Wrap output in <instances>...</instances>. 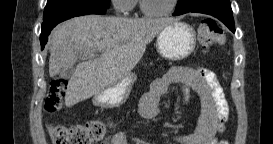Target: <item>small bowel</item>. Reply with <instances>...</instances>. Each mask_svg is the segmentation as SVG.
<instances>
[{"label":"small bowel","mask_w":273,"mask_h":144,"mask_svg":"<svg viewBox=\"0 0 273 144\" xmlns=\"http://www.w3.org/2000/svg\"><path fill=\"white\" fill-rule=\"evenodd\" d=\"M173 83L182 84L185 95L189 89L194 90L201 100V113L196 129L191 133L176 135L177 143L216 144V134L224 129L229 110L223 89L216 75L209 69L188 67L170 69L165 75L155 79L150 90L142 97L138 109L139 115L147 120L154 118L158 114L160 97ZM104 143L127 144V136L124 132H117Z\"/></svg>","instance_id":"1"}]
</instances>
